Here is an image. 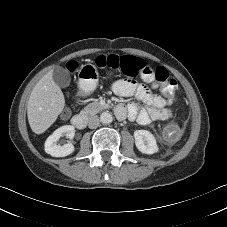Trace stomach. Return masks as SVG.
<instances>
[{"mask_svg": "<svg viewBox=\"0 0 227 227\" xmlns=\"http://www.w3.org/2000/svg\"><path fill=\"white\" fill-rule=\"evenodd\" d=\"M99 73L92 64L82 65L79 71V87L86 93L94 91L98 85Z\"/></svg>", "mask_w": 227, "mask_h": 227, "instance_id": "obj_1", "label": "stomach"}]
</instances>
